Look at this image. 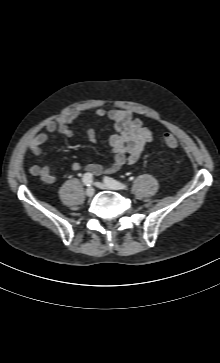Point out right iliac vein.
Wrapping results in <instances>:
<instances>
[{
  "label": "right iliac vein",
  "instance_id": "obj_1",
  "mask_svg": "<svg viewBox=\"0 0 220 363\" xmlns=\"http://www.w3.org/2000/svg\"><path fill=\"white\" fill-rule=\"evenodd\" d=\"M94 192H95V190H94V188L93 187H88L87 189H86V195L88 196V197H92L93 195H94Z\"/></svg>",
  "mask_w": 220,
  "mask_h": 363
}]
</instances>
